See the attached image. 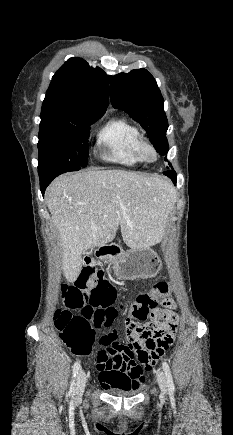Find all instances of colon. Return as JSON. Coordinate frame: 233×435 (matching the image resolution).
<instances>
[{"label":"colon","instance_id":"1","mask_svg":"<svg viewBox=\"0 0 233 435\" xmlns=\"http://www.w3.org/2000/svg\"><path fill=\"white\" fill-rule=\"evenodd\" d=\"M106 281L108 279L103 270L86 267L72 285L61 286V297L67 309L79 310V313L58 311L59 338L76 355H89L97 346L95 363L103 362L109 355L118 353L123 356L127 366L140 364L146 370H151L172 343L176 327L165 324L157 329L148 323L137 324L133 318L147 321L155 317L161 310V300L171 293L170 283L166 280L154 283L149 291L141 292L129 306L124 320L125 343H113L103 337L96 342V330L110 326L117 317L115 295L96 294L86 299L82 290L94 282ZM116 380L120 390L131 388L124 375L116 376Z\"/></svg>","mask_w":233,"mask_h":435}]
</instances>
